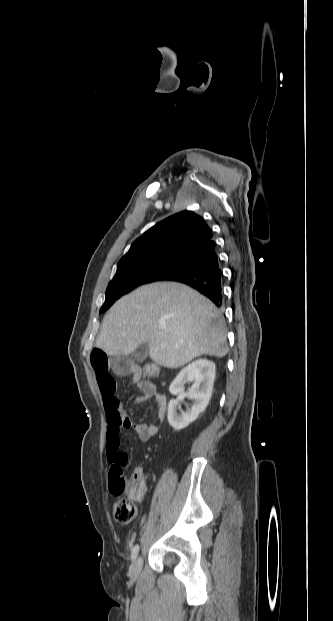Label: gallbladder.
I'll use <instances>...</instances> for the list:
<instances>
[{"mask_svg": "<svg viewBox=\"0 0 333 621\" xmlns=\"http://www.w3.org/2000/svg\"><path fill=\"white\" fill-rule=\"evenodd\" d=\"M148 342L142 343L132 354V358L137 363H142L148 356Z\"/></svg>", "mask_w": 333, "mask_h": 621, "instance_id": "bac80fb5", "label": "gallbladder"}]
</instances>
